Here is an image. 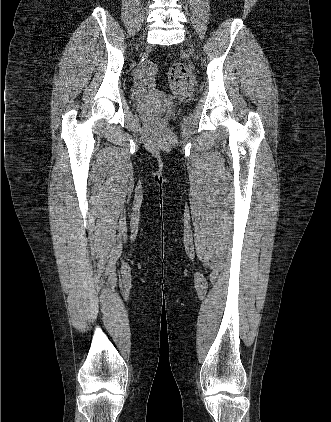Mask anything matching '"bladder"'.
Here are the masks:
<instances>
[{"instance_id":"obj_1","label":"bladder","mask_w":331,"mask_h":422,"mask_svg":"<svg viewBox=\"0 0 331 422\" xmlns=\"http://www.w3.org/2000/svg\"><path fill=\"white\" fill-rule=\"evenodd\" d=\"M145 99H150V97H146Z\"/></svg>"}]
</instances>
